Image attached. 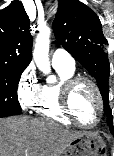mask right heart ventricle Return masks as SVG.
<instances>
[{
	"instance_id": "1",
	"label": "right heart ventricle",
	"mask_w": 114,
	"mask_h": 156,
	"mask_svg": "<svg viewBox=\"0 0 114 156\" xmlns=\"http://www.w3.org/2000/svg\"><path fill=\"white\" fill-rule=\"evenodd\" d=\"M54 68L59 75V82L43 85L33 108L40 117L70 126L73 122L66 116L61 107V87L67 79L74 76V69L61 66H55Z\"/></svg>"
}]
</instances>
